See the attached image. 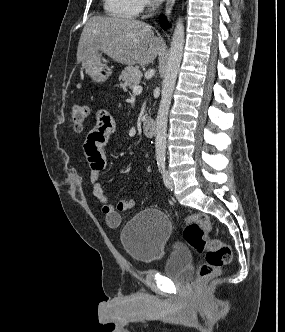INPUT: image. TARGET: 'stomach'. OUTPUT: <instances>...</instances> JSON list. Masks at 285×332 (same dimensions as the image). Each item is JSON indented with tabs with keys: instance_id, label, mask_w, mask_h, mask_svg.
I'll return each mask as SVG.
<instances>
[{
	"instance_id": "obj_1",
	"label": "stomach",
	"mask_w": 285,
	"mask_h": 332,
	"mask_svg": "<svg viewBox=\"0 0 285 332\" xmlns=\"http://www.w3.org/2000/svg\"><path fill=\"white\" fill-rule=\"evenodd\" d=\"M82 64L86 73L96 83L105 82L112 74V70L103 63L102 54L98 51L92 53Z\"/></svg>"
}]
</instances>
